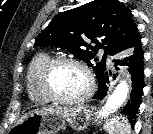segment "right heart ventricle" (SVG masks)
Returning <instances> with one entry per match:
<instances>
[{
    "mask_svg": "<svg viewBox=\"0 0 153 134\" xmlns=\"http://www.w3.org/2000/svg\"><path fill=\"white\" fill-rule=\"evenodd\" d=\"M51 59L46 52L35 55L30 61L26 72V90L29 98L38 104H47L51 100L40 87V73L43 66Z\"/></svg>",
    "mask_w": 153,
    "mask_h": 134,
    "instance_id": "e07e8e85",
    "label": "right heart ventricle"
}]
</instances>
